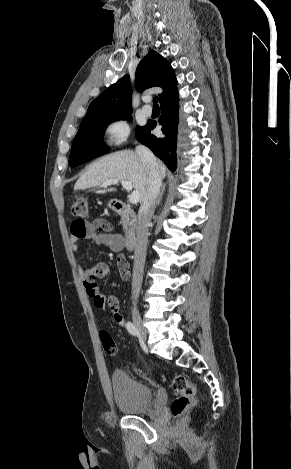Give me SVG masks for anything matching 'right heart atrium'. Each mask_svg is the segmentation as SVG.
I'll return each mask as SVG.
<instances>
[{"label": "right heart atrium", "instance_id": "d8ad5b80", "mask_svg": "<svg viewBox=\"0 0 291 469\" xmlns=\"http://www.w3.org/2000/svg\"><path fill=\"white\" fill-rule=\"evenodd\" d=\"M130 134V127L125 119L118 118L109 122L104 129L105 140L108 146L118 147L124 144Z\"/></svg>", "mask_w": 291, "mask_h": 469}]
</instances>
